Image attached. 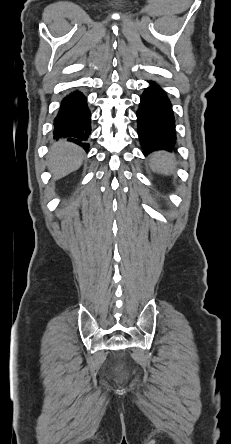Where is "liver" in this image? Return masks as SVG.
<instances>
[{
    "instance_id": "obj_1",
    "label": "liver",
    "mask_w": 231,
    "mask_h": 444,
    "mask_svg": "<svg viewBox=\"0 0 231 444\" xmlns=\"http://www.w3.org/2000/svg\"><path fill=\"white\" fill-rule=\"evenodd\" d=\"M83 158L84 151L81 147L60 140L51 146L48 155V168L53 173V178L57 180L77 170L81 166Z\"/></svg>"
}]
</instances>
